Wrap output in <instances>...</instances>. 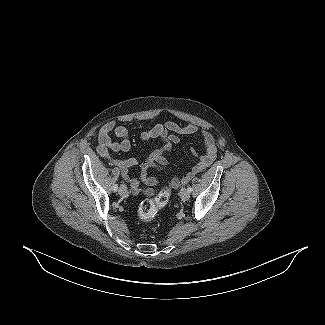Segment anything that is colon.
<instances>
[{"instance_id": "obj_1", "label": "colon", "mask_w": 325, "mask_h": 325, "mask_svg": "<svg viewBox=\"0 0 325 325\" xmlns=\"http://www.w3.org/2000/svg\"><path fill=\"white\" fill-rule=\"evenodd\" d=\"M171 192V187L166 186L161 189L155 197L147 198L142 201L138 209L139 218L142 220L154 218L158 212L168 204Z\"/></svg>"}]
</instances>
